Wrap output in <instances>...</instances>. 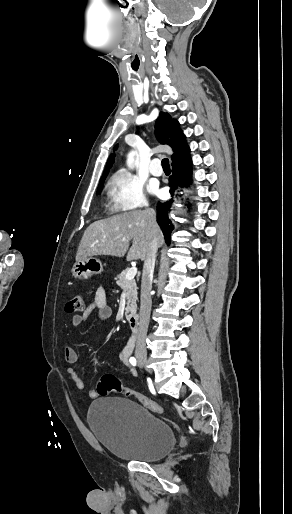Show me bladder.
Wrapping results in <instances>:
<instances>
[{
  "mask_svg": "<svg viewBox=\"0 0 292 514\" xmlns=\"http://www.w3.org/2000/svg\"><path fill=\"white\" fill-rule=\"evenodd\" d=\"M88 424L99 443L114 457L151 462L169 454L176 433L145 406L125 398H100L91 403Z\"/></svg>",
  "mask_w": 292,
  "mask_h": 514,
  "instance_id": "bladder-1",
  "label": "bladder"
}]
</instances>
